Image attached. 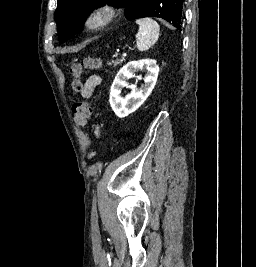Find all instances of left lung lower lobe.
<instances>
[{
    "mask_svg": "<svg viewBox=\"0 0 256 267\" xmlns=\"http://www.w3.org/2000/svg\"><path fill=\"white\" fill-rule=\"evenodd\" d=\"M184 0H175V8H176V18H175V27L178 28L179 30H182V4Z\"/></svg>",
    "mask_w": 256,
    "mask_h": 267,
    "instance_id": "1",
    "label": "left lung lower lobe"
}]
</instances>
